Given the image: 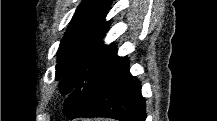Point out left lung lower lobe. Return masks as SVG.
Listing matches in <instances>:
<instances>
[{
  "mask_svg": "<svg viewBox=\"0 0 217 121\" xmlns=\"http://www.w3.org/2000/svg\"><path fill=\"white\" fill-rule=\"evenodd\" d=\"M145 101L140 82L129 72L126 58L110 57L88 85L71 119L108 117L124 121H145Z\"/></svg>",
  "mask_w": 217,
  "mask_h": 121,
  "instance_id": "1",
  "label": "left lung lower lobe"
}]
</instances>
